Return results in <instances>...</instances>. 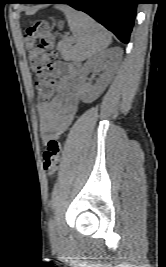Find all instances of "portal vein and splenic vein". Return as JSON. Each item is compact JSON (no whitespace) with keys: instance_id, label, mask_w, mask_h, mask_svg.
Returning <instances> with one entry per match:
<instances>
[{"instance_id":"1","label":"portal vein and splenic vein","mask_w":166,"mask_h":267,"mask_svg":"<svg viewBox=\"0 0 166 267\" xmlns=\"http://www.w3.org/2000/svg\"><path fill=\"white\" fill-rule=\"evenodd\" d=\"M70 42H72L73 41V39H68Z\"/></svg>"}]
</instances>
